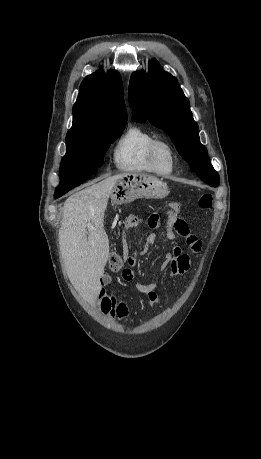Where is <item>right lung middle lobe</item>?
<instances>
[{
	"label": "right lung middle lobe",
	"instance_id": "1",
	"mask_svg": "<svg viewBox=\"0 0 261 459\" xmlns=\"http://www.w3.org/2000/svg\"><path fill=\"white\" fill-rule=\"evenodd\" d=\"M124 124L101 126L79 132L66 138V155L60 165V183L54 198H59L73 187L82 184L96 172L113 141L122 133Z\"/></svg>",
	"mask_w": 261,
	"mask_h": 459
}]
</instances>
